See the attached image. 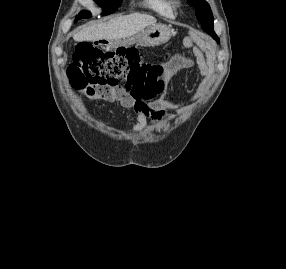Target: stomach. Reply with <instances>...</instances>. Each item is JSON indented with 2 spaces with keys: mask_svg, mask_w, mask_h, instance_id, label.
I'll list each match as a JSON object with an SVG mask.
<instances>
[{
  "mask_svg": "<svg viewBox=\"0 0 286 269\" xmlns=\"http://www.w3.org/2000/svg\"><path fill=\"white\" fill-rule=\"evenodd\" d=\"M171 29L165 24L150 25L136 33L132 37L123 40L125 44L139 43L142 46H158L166 43L171 38ZM120 40H111L109 45L113 46Z\"/></svg>",
  "mask_w": 286,
  "mask_h": 269,
  "instance_id": "1",
  "label": "stomach"
}]
</instances>
